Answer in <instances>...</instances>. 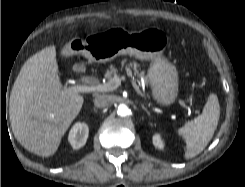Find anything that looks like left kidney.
Instances as JSON below:
<instances>
[{
    "instance_id": "5707ae66",
    "label": "left kidney",
    "mask_w": 245,
    "mask_h": 187,
    "mask_svg": "<svg viewBox=\"0 0 245 187\" xmlns=\"http://www.w3.org/2000/svg\"><path fill=\"white\" fill-rule=\"evenodd\" d=\"M152 140L155 147H157L158 149L164 148L163 140L161 139V136L159 134H155Z\"/></svg>"
}]
</instances>
